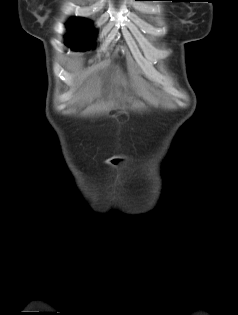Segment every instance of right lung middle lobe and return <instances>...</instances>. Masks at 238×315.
I'll list each match as a JSON object with an SVG mask.
<instances>
[{
  "instance_id": "dd1d6c3e",
  "label": "right lung middle lobe",
  "mask_w": 238,
  "mask_h": 315,
  "mask_svg": "<svg viewBox=\"0 0 238 315\" xmlns=\"http://www.w3.org/2000/svg\"><path fill=\"white\" fill-rule=\"evenodd\" d=\"M66 26L69 31V34L65 36L66 45L76 51L89 50L94 43V32L90 20L73 17Z\"/></svg>"
}]
</instances>
